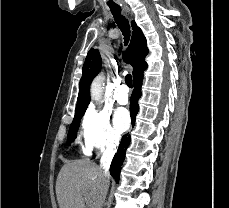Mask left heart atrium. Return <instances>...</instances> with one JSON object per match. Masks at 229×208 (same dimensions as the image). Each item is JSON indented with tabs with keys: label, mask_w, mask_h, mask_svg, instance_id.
<instances>
[{
	"label": "left heart atrium",
	"mask_w": 229,
	"mask_h": 208,
	"mask_svg": "<svg viewBox=\"0 0 229 208\" xmlns=\"http://www.w3.org/2000/svg\"><path fill=\"white\" fill-rule=\"evenodd\" d=\"M115 127L119 132H124L130 126V118L125 109H120L115 113Z\"/></svg>",
	"instance_id": "39dd6f15"
}]
</instances>
